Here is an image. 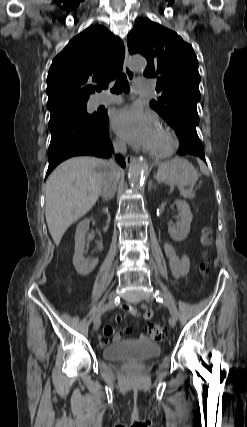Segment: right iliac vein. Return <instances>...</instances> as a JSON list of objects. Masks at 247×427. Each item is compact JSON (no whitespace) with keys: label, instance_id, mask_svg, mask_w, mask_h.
<instances>
[{"label":"right iliac vein","instance_id":"right-iliac-vein-1","mask_svg":"<svg viewBox=\"0 0 247 427\" xmlns=\"http://www.w3.org/2000/svg\"><path fill=\"white\" fill-rule=\"evenodd\" d=\"M116 297H117V293L115 291H112L109 294V297H108L109 303H112L116 299ZM101 315L95 316V319H94V322H93V328H94V330H98L99 327H100V324H101Z\"/></svg>","mask_w":247,"mask_h":427}]
</instances>
